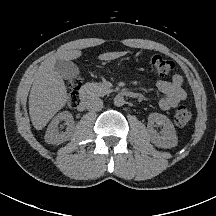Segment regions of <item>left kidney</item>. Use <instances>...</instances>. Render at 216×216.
Masks as SVG:
<instances>
[{
    "mask_svg": "<svg viewBox=\"0 0 216 216\" xmlns=\"http://www.w3.org/2000/svg\"><path fill=\"white\" fill-rule=\"evenodd\" d=\"M162 125V135L159 136L154 129V124ZM147 131L151 142L157 147L172 148L177 146L178 138L173 123L168 117L160 113H151L148 116Z\"/></svg>",
    "mask_w": 216,
    "mask_h": 216,
    "instance_id": "5707ae66",
    "label": "left kidney"
}]
</instances>
